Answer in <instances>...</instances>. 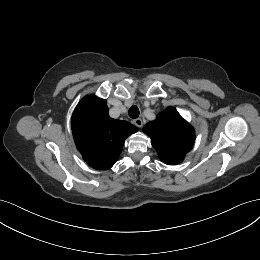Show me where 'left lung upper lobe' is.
Masks as SVG:
<instances>
[{"label": "left lung upper lobe", "mask_w": 260, "mask_h": 260, "mask_svg": "<svg viewBox=\"0 0 260 260\" xmlns=\"http://www.w3.org/2000/svg\"><path fill=\"white\" fill-rule=\"evenodd\" d=\"M143 132L151 138L160 160L168 165L181 163L195 141L193 127L173 107L159 113L154 121L146 124Z\"/></svg>", "instance_id": "5c2ea615"}]
</instances>
